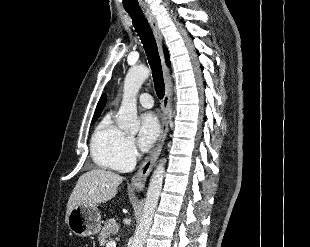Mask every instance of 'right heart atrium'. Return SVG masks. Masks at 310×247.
Listing matches in <instances>:
<instances>
[{
	"mask_svg": "<svg viewBox=\"0 0 310 247\" xmlns=\"http://www.w3.org/2000/svg\"><path fill=\"white\" fill-rule=\"evenodd\" d=\"M138 151L132 136H124L116 161L117 170H126L135 162Z\"/></svg>",
	"mask_w": 310,
	"mask_h": 247,
	"instance_id": "d8ad5b80",
	"label": "right heart atrium"
}]
</instances>
